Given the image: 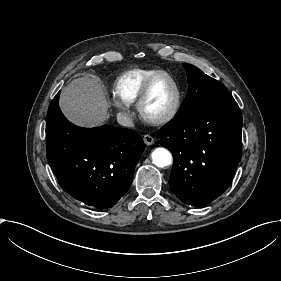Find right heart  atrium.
<instances>
[{"label":"right heart atrium","instance_id":"obj_1","mask_svg":"<svg viewBox=\"0 0 281 281\" xmlns=\"http://www.w3.org/2000/svg\"><path fill=\"white\" fill-rule=\"evenodd\" d=\"M115 106L125 120H130L133 118L134 114L130 108H128L127 106H125L124 104H122L120 102H117L115 104Z\"/></svg>","mask_w":281,"mask_h":281}]
</instances>
